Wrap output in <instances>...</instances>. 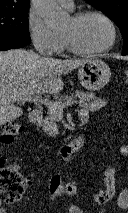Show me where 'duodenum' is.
I'll return each mask as SVG.
<instances>
[{"label": "duodenum", "mask_w": 128, "mask_h": 213, "mask_svg": "<svg viewBox=\"0 0 128 213\" xmlns=\"http://www.w3.org/2000/svg\"><path fill=\"white\" fill-rule=\"evenodd\" d=\"M30 121L35 124H40L43 118L42 112L39 110H33L30 113ZM85 144V135L79 134L77 137H75L72 141L69 143L61 146L58 149V158L60 160H67L70 158L75 152H77L83 145Z\"/></svg>", "instance_id": "obj_1"}]
</instances>
